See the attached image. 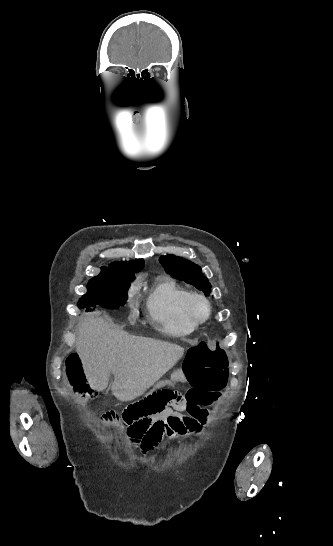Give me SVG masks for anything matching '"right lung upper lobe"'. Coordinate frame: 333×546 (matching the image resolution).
I'll list each match as a JSON object with an SVG mask.
<instances>
[{
    "instance_id": "obj_1",
    "label": "right lung upper lobe",
    "mask_w": 333,
    "mask_h": 546,
    "mask_svg": "<svg viewBox=\"0 0 333 546\" xmlns=\"http://www.w3.org/2000/svg\"><path fill=\"white\" fill-rule=\"evenodd\" d=\"M112 268L102 267V270H119L127 273L139 272L144 267V260H130L128 262H115L110 265Z\"/></svg>"
}]
</instances>
